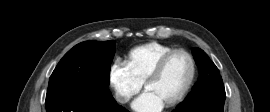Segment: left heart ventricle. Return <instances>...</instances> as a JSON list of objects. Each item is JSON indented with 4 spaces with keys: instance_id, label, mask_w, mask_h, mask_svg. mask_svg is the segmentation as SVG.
<instances>
[{
    "instance_id": "obj_1",
    "label": "left heart ventricle",
    "mask_w": 270,
    "mask_h": 112,
    "mask_svg": "<svg viewBox=\"0 0 270 112\" xmlns=\"http://www.w3.org/2000/svg\"><path fill=\"white\" fill-rule=\"evenodd\" d=\"M191 72L190 61L182 53L173 55L160 76L147 85L146 91L154 94L165 105L185 87Z\"/></svg>"
}]
</instances>
